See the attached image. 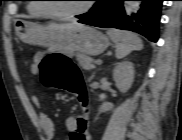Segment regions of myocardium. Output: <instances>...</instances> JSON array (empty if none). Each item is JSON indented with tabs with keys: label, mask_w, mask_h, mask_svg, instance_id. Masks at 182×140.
Instances as JSON below:
<instances>
[{
	"label": "myocardium",
	"mask_w": 182,
	"mask_h": 140,
	"mask_svg": "<svg viewBox=\"0 0 182 140\" xmlns=\"http://www.w3.org/2000/svg\"><path fill=\"white\" fill-rule=\"evenodd\" d=\"M45 1H49V0H45ZM91 2H87L83 8H81L78 11L75 12H70V13H63V12H59L57 10L54 9L53 4H44L43 10L46 12L47 16L52 17V18H56V19H73L76 17H79L85 13H87L90 9H91Z\"/></svg>",
	"instance_id": "obj_1"
}]
</instances>
